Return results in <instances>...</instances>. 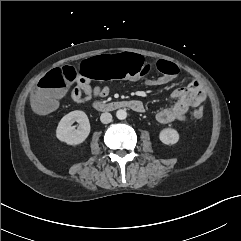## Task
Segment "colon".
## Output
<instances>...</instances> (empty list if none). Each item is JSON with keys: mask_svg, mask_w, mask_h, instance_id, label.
Here are the masks:
<instances>
[{"mask_svg": "<svg viewBox=\"0 0 241 241\" xmlns=\"http://www.w3.org/2000/svg\"><path fill=\"white\" fill-rule=\"evenodd\" d=\"M156 68L170 77H175L179 73L177 65L166 60L157 61ZM150 70L149 63L130 52L107 53L102 57H90L81 61L77 66V73L83 79L135 78L146 75ZM75 78L76 72L69 66L53 69L44 75L38 81L37 89L31 98L34 110L39 113L50 111ZM192 115L195 119H201L204 111L202 108H197Z\"/></svg>", "mask_w": 241, "mask_h": 241, "instance_id": "colon-1", "label": "colon"}]
</instances>
